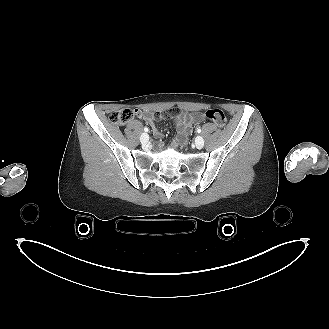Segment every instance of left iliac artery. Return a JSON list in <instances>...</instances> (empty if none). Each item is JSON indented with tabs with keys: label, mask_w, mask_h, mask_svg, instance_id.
<instances>
[{
	"label": "left iliac artery",
	"mask_w": 329,
	"mask_h": 329,
	"mask_svg": "<svg viewBox=\"0 0 329 329\" xmlns=\"http://www.w3.org/2000/svg\"><path fill=\"white\" fill-rule=\"evenodd\" d=\"M197 132H198V133H201V129H200V128H198V129H197Z\"/></svg>",
	"instance_id": "1"
}]
</instances>
